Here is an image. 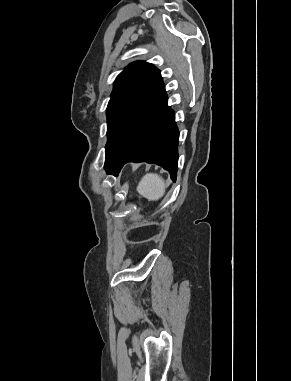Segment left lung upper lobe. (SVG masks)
Here are the masks:
<instances>
[{
    "instance_id": "left-lung-upper-lobe-1",
    "label": "left lung upper lobe",
    "mask_w": 291,
    "mask_h": 381,
    "mask_svg": "<svg viewBox=\"0 0 291 381\" xmlns=\"http://www.w3.org/2000/svg\"><path fill=\"white\" fill-rule=\"evenodd\" d=\"M163 87L160 71L143 61L131 63L118 75L107 107L106 157Z\"/></svg>"
}]
</instances>
